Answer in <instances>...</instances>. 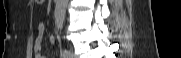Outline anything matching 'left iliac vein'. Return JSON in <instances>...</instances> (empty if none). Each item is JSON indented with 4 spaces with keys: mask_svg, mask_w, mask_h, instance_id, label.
Here are the masks:
<instances>
[{
    "mask_svg": "<svg viewBox=\"0 0 181 58\" xmlns=\"http://www.w3.org/2000/svg\"><path fill=\"white\" fill-rule=\"evenodd\" d=\"M70 58H75V57H73V55L71 54Z\"/></svg>",
    "mask_w": 181,
    "mask_h": 58,
    "instance_id": "obj_1",
    "label": "left iliac vein"
}]
</instances>
